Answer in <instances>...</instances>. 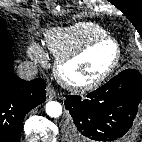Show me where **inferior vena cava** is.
I'll return each instance as SVG.
<instances>
[{
  "mask_svg": "<svg viewBox=\"0 0 142 142\" xmlns=\"http://www.w3.org/2000/svg\"><path fill=\"white\" fill-rule=\"evenodd\" d=\"M38 73V67L31 61H23L17 67V75L23 80H32Z\"/></svg>",
  "mask_w": 142,
  "mask_h": 142,
  "instance_id": "obj_1",
  "label": "inferior vena cava"
}]
</instances>
